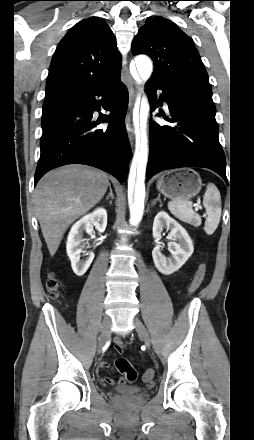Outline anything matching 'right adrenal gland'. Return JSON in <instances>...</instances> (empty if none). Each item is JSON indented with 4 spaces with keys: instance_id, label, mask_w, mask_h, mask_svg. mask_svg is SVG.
<instances>
[{
    "instance_id": "right-adrenal-gland-1",
    "label": "right adrenal gland",
    "mask_w": 254,
    "mask_h": 440,
    "mask_svg": "<svg viewBox=\"0 0 254 440\" xmlns=\"http://www.w3.org/2000/svg\"><path fill=\"white\" fill-rule=\"evenodd\" d=\"M109 190L110 192L108 193V195L106 196V200H108L109 198H111L112 200L114 199V195H113V191L111 188V184L109 183ZM112 203V201H110V204Z\"/></svg>"
}]
</instances>
